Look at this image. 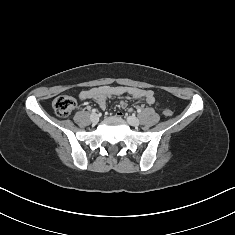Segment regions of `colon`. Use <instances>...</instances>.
Returning <instances> with one entry per match:
<instances>
[{
	"mask_svg": "<svg viewBox=\"0 0 235 235\" xmlns=\"http://www.w3.org/2000/svg\"><path fill=\"white\" fill-rule=\"evenodd\" d=\"M53 109L55 113L60 117L68 116L76 106L74 98L67 95L57 96L53 101ZM164 115L171 116L172 111L170 109L164 110Z\"/></svg>",
	"mask_w": 235,
	"mask_h": 235,
	"instance_id": "5ec220e1",
	"label": "colon"
}]
</instances>
